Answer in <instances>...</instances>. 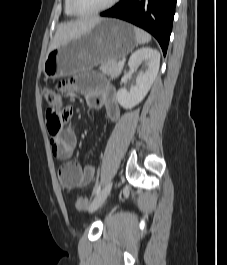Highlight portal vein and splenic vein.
<instances>
[{"mask_svg":"<svg viewBox=\"0 0 227 265\" xmlns=\"http://www.w3.org/2000/svg\"><path fill=\"white\" fill-rule=\"evenodd\" d=\"M118 65H119L120 67H123L124 62H123V61L118 62Z\"/></svg>","mask_w":227,"mask_h":265,"instance_id":"portal-vein-and-splenic-vein-1","label":"portal vein and splenic vein"}]
</instances>
